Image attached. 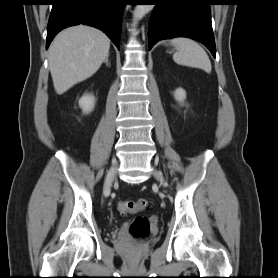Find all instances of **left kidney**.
Wrapping results in <instances>:
<instances>
[{"mask_svg":"<svg viewBox=\"0 0 278 278\" xmlns=\"http://www.w3.org/2000/svg\"><path fill=\"white\" fill-rule=\"evenodd\" d=\"M174 97L177 101L182 103L186 98V92L182 88H179L175 91Z\"/></svg>","mask_w":278,"mask_h":278,"instance_id":"obj_1","label":"left kidney"}]
</instances>
